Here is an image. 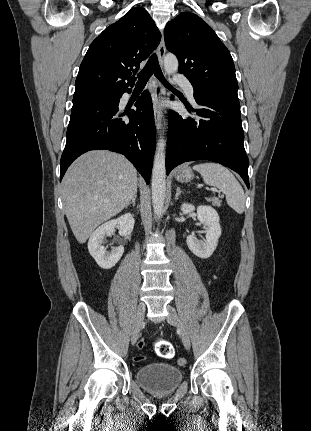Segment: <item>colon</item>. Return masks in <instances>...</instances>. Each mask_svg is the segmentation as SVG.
<instances>
[{
	"instance_id": "colon-1",
	"label": "colon",
	"mask_w": 311,
	"mask_h": 431,
	"mask_svg": "<svg viewBox=\"0 0 311 431\" xmlns=\"http://www.w3.org/2000/svg\"><path fill=\"white\" fill-rule=\"evenodd\" d=\"M144 346H145V342L143 340H140L138 343V348L141 350L144 348ZM155 351H156V354L162 358L169 359L174 356V348L172 344L169 343L168 341H164V340L158 341L155 345ZM144 359L145 357L143 355H138L135 357V361H143ZM177 362L179 366H185L187 363L185 358H179Z\"/></svg>"
}]
</instances>
